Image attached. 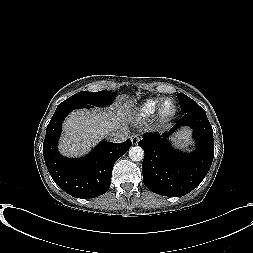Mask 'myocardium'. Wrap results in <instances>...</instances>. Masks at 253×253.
Listing matches in <instances>:
<instances>
[{
  "instance_id": "1",
  "label": "myocardium",
  "mask_w": 253,
  "mask_h": 253,
  "mask_svg": "<svg viewBox=\"0 0 253 253\" xmlns=\"http://www.w3.org/2000/svg\"><path fill=\"white\" fill-rule=\"evenodd\" d=\"M167 102H171L173 104V109L170 112H165L164 110V106ZM176 113H177V104L172 98L166 97L161 99L157 109V116L160 120L162 121L170 120L176 115Z\"/></svg>"
}]
</instances>
